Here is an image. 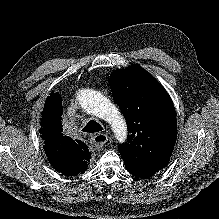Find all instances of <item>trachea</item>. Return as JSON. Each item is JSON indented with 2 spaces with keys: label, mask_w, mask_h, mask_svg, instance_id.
Listing matches in <instances>:
<instances>
[{
  "label": "trachea",
  "mask_w": 219,
  "mask_h": 219,
  "mask_svg": "<svg viewBox=\"0 0 219 219\" xmlns=\"http://www.w3.org/2000/svg\"><path fill=\"white\" fill-rule=\"evenodd\" d=\"M102 130H103L102 126L95 120H90L86 124V126L82 129L83 132H87V133H97Z\"/></svg>",
  "instance_id": "obj_1"
}]
</instances>
